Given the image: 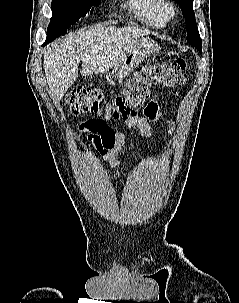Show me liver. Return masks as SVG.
Here are the masks:
<instances>
[{"mask_svg": "<svg viewBox=\"0 0 239 303\" xmlns=\"http://www.w3.org/2000/svg\"><path fill=\"white\" fill-rule=\"evenodd\" d=\"M146 35L147 31L133 27L96 26L55 41L44 52V71L53 100L59 102L76 81L80 62L84 77L106 73Z\"/></svg>", "mask_w": 239, "mask_h": 303, "instance_id": "obj_1", "label": "liver"}]
</instances>
